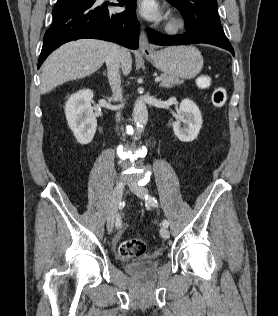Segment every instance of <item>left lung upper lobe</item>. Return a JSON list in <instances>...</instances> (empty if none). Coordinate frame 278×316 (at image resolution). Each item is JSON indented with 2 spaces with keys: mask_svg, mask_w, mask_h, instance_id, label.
<instances>
[{
  "mask_svg": "<svg viewBox=\"0 0 278 316\" xmlns=\"http://www.w3.org/2000/svg\"><path fill=\"white\" fill-rule=\"evenodd\" d=\"M183 15L188 31L228 41L220 23L216 0H167Z\"/></svg>",
  "mask_w": 278,
  "mask_h": 316,
  "instance_id": "1",
  "label": "left lung upper lobe"
}]
</instances>
